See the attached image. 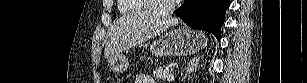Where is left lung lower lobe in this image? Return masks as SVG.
Returning <instances> with one entry per match:
<instances>
[{"label":"left lung lower lobe","instance_id":"0a47b994","mask_svg":"<svg viewBox=\"0 0 307 83\" xmlns=\"http://www.w3.org/2000/svg\"><path fill=\"white\" fill-rule=\"evenodd\" d=\"M229 5L230 0H185L175 12L191 28L207 30L220 40Z\"/></svg>","mask_w":307,"mask_h":83}]
</instances>
